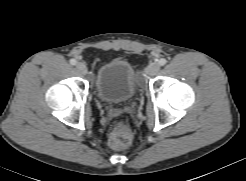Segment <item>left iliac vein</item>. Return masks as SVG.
I'll use <instances>...</instances> for the list:
<instances>
[{"mask_svg": "<svg viewBox=\"0 0 246 181\" xmlns=\"http://www.w3.org/2000/svg\"><path fill=\"white\" fill-rule=\"evenodd\" d=\"M159 69H160L159 64L156 62H152L149 64V66L147 68V74L149 76H153V75L158 73Z\"/></svg>", "mask_w": 246, "mask_h": 181, "instance_id": "1", "label": "left iliac vein"}]
</instances>
